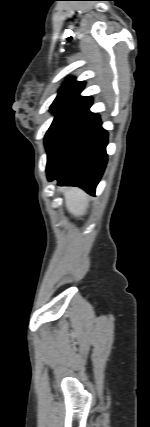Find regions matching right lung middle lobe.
Returning <instances> with one entry per match:
<instances>
[{"instance_id": "1", "label": "right lung middle lobe", "mask_w": 150, "mask_h": 427, "mask_svg": "<svg viewBox=\"0 0 150 427\" xmlns=\"http://www.w3.org/2000/svg\"><path fill=\"white\" fill-rule=\"evenodd\" d=\"M51 112L55 114V118L45 136L47 155L50 154L64 130L81 111L75 109H51Z\"/></svg>"}]
</instances>
